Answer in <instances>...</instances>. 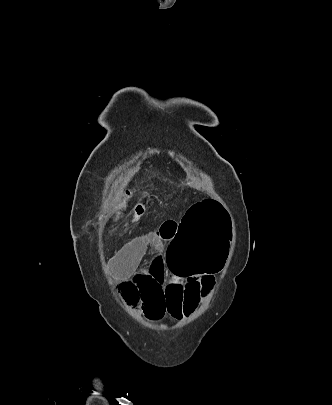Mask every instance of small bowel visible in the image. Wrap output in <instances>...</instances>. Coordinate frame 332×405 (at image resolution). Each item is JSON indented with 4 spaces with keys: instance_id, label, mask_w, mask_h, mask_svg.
<instances>
[{
    "instance_id": "c3829d8e",
    "label": "small bowel",
    "mask_w": 332,
    "mask_h": 405,
    "mask_svg": "<svg viewBox=\"0 0 332 405\" xmlns=\"http://www.w3.org/2000/svg\"><path fill=\"white\" fill-rule=\"evenodd\" d=\"M133 217H145L140 203L132 209ZM175 240V221L166 222L155 231L125 243L109 259L114 273L122 280L132 279L141 292L142 320L156 326L159 320L189 316L213 285V275H174L165 268L166 244ZM148 248L152 254L145 267L139 264Z\"/></svg>"
}]
</instances>
